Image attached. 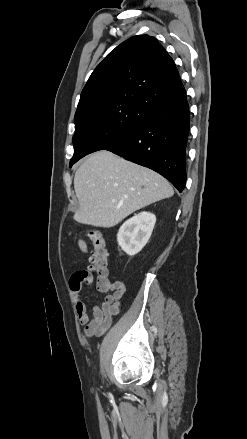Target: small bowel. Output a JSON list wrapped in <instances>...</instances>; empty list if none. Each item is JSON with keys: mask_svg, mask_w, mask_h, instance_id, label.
<instances>
[{"mask_svg": "<svg viewBox=\"0 0 247 439\" xmlns=\"http://www.w3.org/2000/svg\"><path fill=\"white\" fill-rule=\"evenodd\" d=\"M92 281V274L85 270L75 272L69 281L78 321L84 326L88 337L100 336L111 326L114 317L120 313V299L125 291L122 282L107 279V288L103 291L111 293L106 295L99 305L88 306L81 299L80 292L84 284H90ZM89 310L92 318L88 315Z\"/></svg>", "mask_w": 247, "mask_h": 439, "instance_id": "small-bowel-1", "label": "small bowel"}]
</instances>
